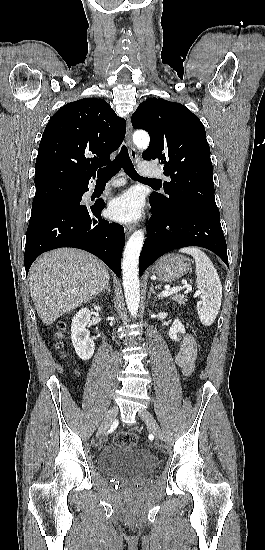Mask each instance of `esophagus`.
I'll list each match as a JSON object with an SVG mask.
<instances>
[{"label": "esophagus", "instance_id": "1", "mask_svg": "<svg viewBox=\"0 0 265 550\" xmlns=\"http://www.w3.org/2000/svg\"><path fill=\"white\" fill-rule=\"evenodd\" d=\"M126 143L130 151V156L133 160L137 158V150L134 147V144L132 142V125L130 118L127 120V128H126ZM133 231V227H126L125 228V234L128 236Z\"/></svg>", "mask_w": 265, "mask_h": 550}]
</instances>
